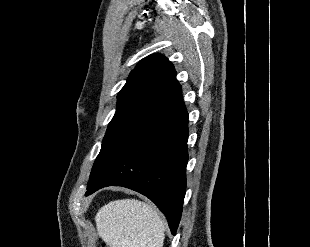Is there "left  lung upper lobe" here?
<instances>
[{"label":"left lung upper lobe","instance_id":"left-lung-upper-lobe-1","mask_svg":"<svg viewBox=\"0 0 310 247\" xmlns=\"http://www.w3.org/2000/svg\"><path fill=\"white\" fill-rule=\"evenodd\" d=\"M117 99V110L103 138L87 189L150 124L182 100L173 64L162 54L146 57L130 73Z\"/></svg>","mask_w":310,"mask_h":247}]
</instances>
